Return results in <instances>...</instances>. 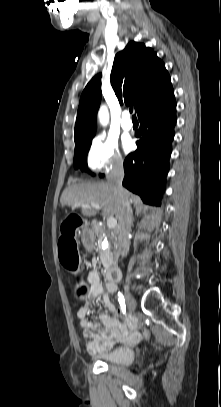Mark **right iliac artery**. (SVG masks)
<instances>
[{"instance_id":"right-iliac-artery-1","label":"right iliac artery","mask_w":221,"mask_h":407,"mask_svg":"<svg viewBox=\"0 0 221 407\" xmlns=\"http://www.w3.org/2000/svg\"><path fill=\"white\" fill-rule=\"evenodd\" d=\"M118 301L120 303L122 313L125 314L126 312L125 300L123 294L120 292L118 293Z\"/></svg>"}]
</instances>
